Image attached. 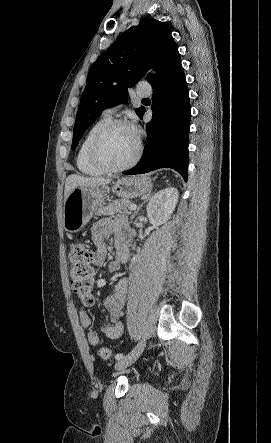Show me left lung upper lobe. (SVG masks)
I'll return each instance as SVG.
<instances>
[{"instance_id":"1","label":"left lung upper lobe","mask_w":271,"mask_h":443,"mask_svg":"<svg viewBox=\"0 0 271 443\" xmlns=\"http://www.w3.org/2000/svg\"><path fill=\"white\" fill-rule=\"evenodd\" d=\"M171 33L166 23L145 18L120 35L94 62L76 115L72 149L105 108L125 102L127 88L133 87L148 69H156L177 47ZM143 109H136V113L139 115Z\"/></svg>"}]
</instances>
